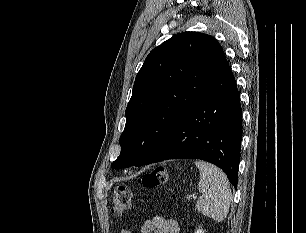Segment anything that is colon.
Listing matches in <instances>:
<instances>
[{
  "label": "colon",
  "instance_id": "5ec220e1",
  "mask_svg": "<svg viewBox=\"0 0 306 233\" xmlns=\"http://www.w3.org/2000/svg\"><path fill=\"white\" fill-rule=\"evenodd\" d=\"M167 181L166 169L162 166L146 173L142 178V183L147 188H155ZM132 191L127 185H119L114 189L112 198V214L121 216L131 205Z\"/></svg>",
  "mask_w": 306,
  "mask_h": 233
}]
</instances>
